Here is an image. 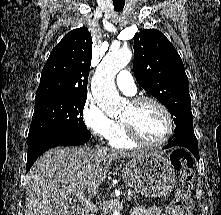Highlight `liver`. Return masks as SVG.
Here are the masks:
<instances>
[{
  "mask_svg": "<svg viewBox=\"0 0 221 215\" xmlns=\"http://www.w3.org/2000/svg\"><path fill=\"white\" fill-rule=\"evenodd\" d=\"M145 155L87 146L56 147L34 163L26 176L25 215H70L71 196L85 191L93 196L115 159Z\"/></svg>",
  "mask_w": 221,
  "mask_h": 215,
  "instance_id": "6515ba94",
  "label": "liver"
}]
</instances>
